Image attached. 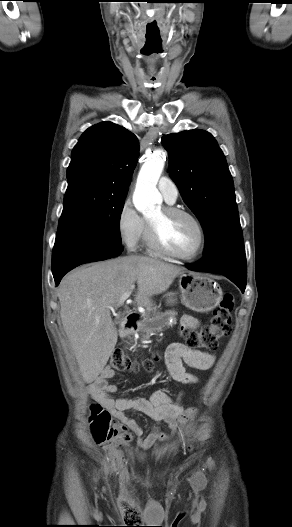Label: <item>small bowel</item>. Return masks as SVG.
<instances>
[{
    "mask_svg": "<svg viewBox=\"0 0 292 527\" xmlns=\"http://www.w3.org/2000/svg\"><path fill=\"white\" fill-rule=\"evenodd\" d=\"M182 328H196L199 321L189 315H185L181 321ZM166 366L172 379L183 384H194L198 378L188 372L185 364L197 370H208L214 362L212 353L196 351L182 343H172L166 350ZM114 376L112 369H106L95 380L91 386L92 395L97 398L105 408L123 425L137 436V443L143 449L151 448L157 441H165L172 436L190 435L193 425L189 424L195 416L196 411L192 408L184 409L180 400L173 401L164 391H156L150 397H129L121 395L111 397L117 392L115 384L108 383ZM127 412H139L155 421V426L144 436L140 424L127 415ZM166 423L170 433L162 432L160 423ZM191 447V444L189 445Z\"/></svg>",
    "mask_w": 292,
    "mask_h": 527,
    "instance_id": "small-bowel-1",
    "label": "small bowel"
}]
</instances>
